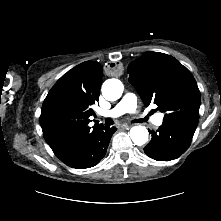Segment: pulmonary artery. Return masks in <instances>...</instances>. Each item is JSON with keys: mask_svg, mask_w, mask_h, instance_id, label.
I'll return each instance as SVG.
<instances>
[{"mask_svg": "<svg viewBox=\"0 0 221 221\" xmlns=\"http://www.w3.org/2000/svg\"><path fill=\"white\" fill-rule=\"evenodd\" d=\"M137 109V98L134 94L127 93L121 101L112 109L108 111H102L100 114L104 117H118L125 113H131L136 111ZM140 117H144L150 120L155 125H161L163 122V115L156 114V115H145L139 114Z\"/></svg>", "mask_w": 221, "mask_h": 221, "instance_id": "obj_1", "label": "pulmonary artery"}]
</instances>
